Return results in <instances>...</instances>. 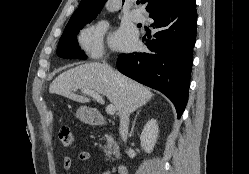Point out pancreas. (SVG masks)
<instances>
[{
	"label": "pancreas",
	"instance_id": "1",
	"mask_svg": "<svg viewBox=\"0 0 249 174\" xmlns=\"http://www.w3.org/2000/svg\"><path fill=\"white\" fill-rule=\"evenodd\" d=\"M105 139L107 140V144L104 145V147H103L105 155L107 157H110V155H112V154L115 155L118 151L117 144L110 137L106 136Z\"/></svg>",
	"mask_w": 249,
	"mask_h": 174
}]
</instances>
